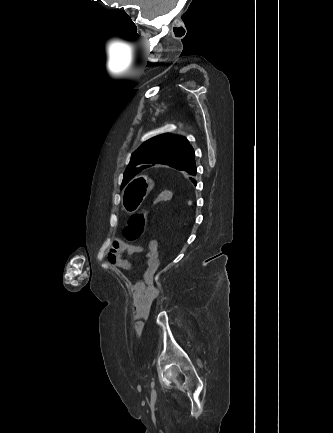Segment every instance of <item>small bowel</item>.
<instances>
[{
	"label": "small bowel",
	"instance_id": "c3829d8e",
	"mask_svg": "<svg viewBox=\"0 0 333 433\" xmlns=\"http://www.w3.org/2000/svg\"><path fill=\"white\" fill-rule=\"evenodd\" d=\"M142 252V247L137 245H125L113 243L108 251V261L113 266L129 269L131 263L123 257L124 253L134 255ZM160 266L159 243L152 240L149 243V251L145 255L144 268L146 275H153ZM160 294V289L155 284H150L142 289L132 287L130 295L132 298V317L135 320L134 329L140 334L144 328L143 320L147 319L151 313L152 306Z\"/></svg>",
	"mask_w": 333,
	"mask_h": 433
}]
</instances>
